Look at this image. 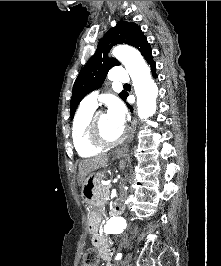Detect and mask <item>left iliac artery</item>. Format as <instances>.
<instances>
[{
	"instance_id": "left-iliac-artery-1",
	"label": "left iliac artery",
	"mask_w": 221,
	"mask_h": 266,
	"mask_svg": "<svg viewBox=\"0 0 221 266\" xmlns=\"http://www.w3.org/2000/svg\"><path fill=\"white\" fill-rule=\"evenodd\" d=\"M122 257V254L121 253H118L117 256H116V260H120Z\"/></svg>"
}]
</instances>
